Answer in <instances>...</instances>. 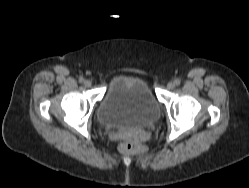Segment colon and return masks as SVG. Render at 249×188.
Returning a JSON list of instances; mask_svg holds the SVG:
<instances>
[{
  "label": "colon",
  "mask_w": 249,
  "mask_h": 188,
  "mask_svg": "<svg viewBox=\"0 0 249 188\" xmlns=\"http://www.w3.org/2000/svg\"><path fill=\"white\" fill-rule=\"evenodd\" d=\"M139 145V140L136 136H128L124 138L120 143H119V149L122 152H133L135 149H137Z\"/></svg>",
  "instance_id": "1"
}]
</instances>
